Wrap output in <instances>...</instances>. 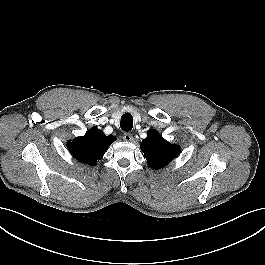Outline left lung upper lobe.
<instances>
[{
	"label": "left lung upper lobe",
	"instance_id": "obj_1",
	"mask_svg": "<svg viewBox=\"0 0 265 265\" xmlns=\"http://www.w3.org/2000/svg\"><path fill=\"white\" fill-rule=\"evenodd\" d=\"M140 146L147 164L154 169L165 167L180 153L179 146L170 144L156 130H149Z\"/></svg>",
	"mask_w": 265,
	"mask_h": 265
}]
</instances>
